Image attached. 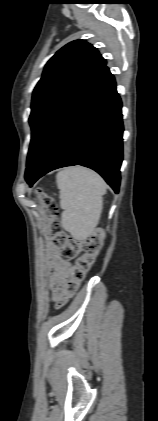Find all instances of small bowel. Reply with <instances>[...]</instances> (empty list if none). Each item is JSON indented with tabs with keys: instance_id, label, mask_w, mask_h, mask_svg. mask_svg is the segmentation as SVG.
<instances>
[{
	"instance_id": "small-bowel-1",
	"label": "small bowel",
	"mask_w": 158,
	"mask_h": 421,
	"mask_svg": "<svg viewBox=\"0 0 158 421\" xmlns=\"http://www.w3.org/2000/svg\"><path fill=\"white\" fill-rule=\"evenodd\" d=\"M71 263L63 261L57 248L50 244L48 246V272L51 285V298L54 302H61L65 296V285L69 278Z\"/></svg>"
}]
</instances>
